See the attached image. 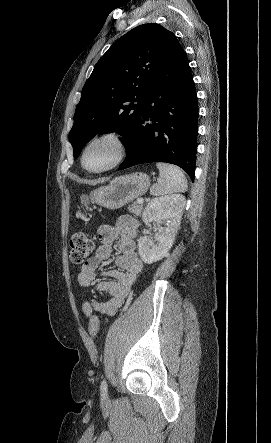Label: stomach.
<instances>
[{"label": "stomach", "instance_id": "1", "mask_svg": "<svg viewBox=\"0 0 271 443\" xmlns=\"http://www.w3.org/2000/svg\"><path fill=\"white\" fill-rule=\"evenodd\" d=\"M150 186V178L143 172L129 174V176H120L110 182L109 186H103L91 192L89 198L81 196V204L87 208L90 202L108 208V210H118L125 204H129L138 196L146 194Z\"/></svg>", "mask_w": 271, "mask_h": 443}]
</instances>
